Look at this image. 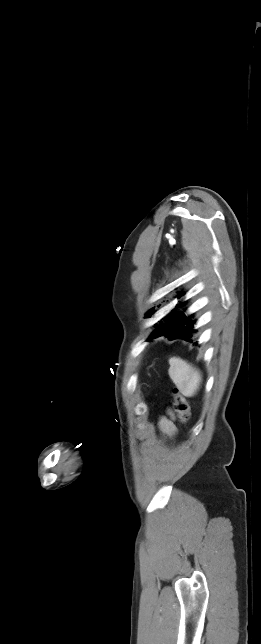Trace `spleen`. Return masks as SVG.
Here are the masks:
<instances>
[{
  "instance_id": "1",
  "label": "spleen",
  "mask_w": 261,
  "mask_h": 644,
  "mask_svg": "<svg viewBox=\"0 0 261 644\" xmlns=\"http://www.w3.org/2000/svg\"><path fill=\"white\" fill-rule=\"evenodd\" d=\"M169 364L168 374L179 391L186 397L194 396L202 380L200 371L177 357L170 358Z\"/></svg>"
}]
</instances>
